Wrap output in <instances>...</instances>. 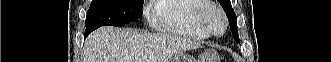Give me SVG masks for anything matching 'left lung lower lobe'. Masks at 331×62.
<instances>
[{"mask_svg":"<svg viewBox=\"0 0 331 62\" xmlns=\"http://www.w3.org/2000/svg\"><path fill=\"white\" fill-rule=\"evenodd\" d=\"M236 40H238V41H239V38H238V37H236Z\"/></svg>","mask_w":331,"mask_h":62,"instance_id":"obj_1","label":"left lung lower lobe"}]
</instances>
